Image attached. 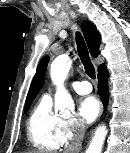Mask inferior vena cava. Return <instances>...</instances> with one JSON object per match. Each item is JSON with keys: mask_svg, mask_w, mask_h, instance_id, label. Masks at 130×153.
<instances>
[{"mask_svg": "<svg viewBox=\"0 0 130 153\" xmlns=\"http://www.w3.org/2000/svg\"><path fill=\"white\" fill-rule=\"evenodd\" d=\"M85 131H86L85 123L82 121L77 123L74 130L73 139L65 148L64 153H79L82 146V141L84 139Z\"/></svg>", "mask_w": 130, "mask_h": 153, "instance_id": "obj_1", "label": "inferior vena cava"}]
</instances>
